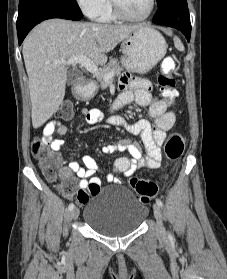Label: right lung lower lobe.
Here are the masks:
<instances>
[{
    "instance_id": "98d812e1",
    "label": "right lung lower lobe",
    "mask_w": 227,
    "mask_h": 279,
    "mask_svg": "<svg viewBox=\"0 0 227 279\" xmlns=\"http://www.w3.org/2000/svg\"><path fill=\"white\" fill-rule=\"evenodd\" d=\"M83 14L73 0H19L17 33L19 45L29 31L41 21L62 18L78 21Z\"/></svg>"
}]
</instances>
